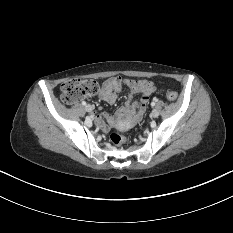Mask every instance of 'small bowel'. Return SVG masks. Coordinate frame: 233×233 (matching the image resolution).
<instances>
[{"mask_svg":"<svg viewBox=\"0 0 233 233\" xmlns=\"http://www.w3.org/2000/svg\"><path fill=\"white\" fill-rule=\"evenodd\" d=\"M123 87L128 88L131 96L140 94V98L138 101L130 99L124 107L117 111L116 117L118 119L125 118L131 122L138 121L146 110L149 96L154 92L155 86L151 81L116 76L107 79L102 84L99 97L108 104H114ZM96 122L103 130H108L112 118L105 113H100L96 117Z\"/></svg>","mask_w":233,"mask_h":233,"instance_id":"small-bowel-1","label":"small bowel"}]
</instances>
